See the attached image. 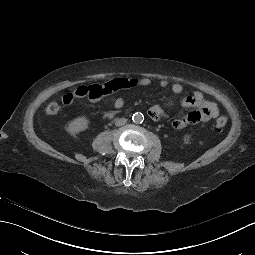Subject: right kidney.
<instances>
[{
  "label": "right kidney",
  "instance_id": "1",
  "mask_svg": "<svg viewBox=\"0 0 255 255\" xmlns=\"http://www.w3.org/2000/svg\"><path fill=\"white\" fill-rule=\"evenodd\" d=\"M88 120L84 117L77 118L73 122H71L67 127V132L71 135H75L78 132L87 129Z\"/></svg>",
  "mask_w": 255,
  "mask_h": 255
}]
</instances>
